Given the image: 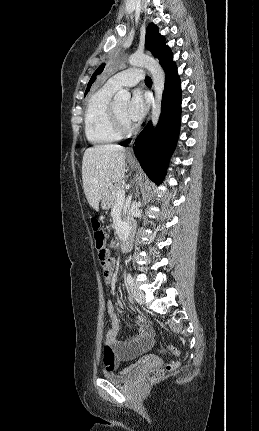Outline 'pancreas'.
<instances>
[{
    "mask_svg": "<svg viewBox=\"0 0 259 431\" xmlns=\"http://www.w3.org/2000/svg\"><path fill=\"white\" fill-rule=\"evenodd\" d=\"M125 187V183L124 181H118L117 183H115L114 186H112L109 190V202H110V206L113 207L114 204H116V202L118 201V197H117V192L119 190H123Z\"/></svg>",
    "mask_w": 259,
    "mask_h": 431,
    "instance_id": "cf45deb5",
    "label": "pancreas"
}]
</instances>
